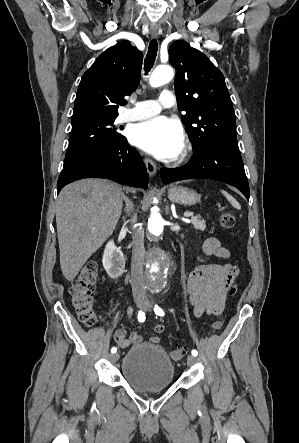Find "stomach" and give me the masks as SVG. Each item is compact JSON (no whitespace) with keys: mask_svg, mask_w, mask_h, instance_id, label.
<instances>
[{"mask_svg":"<svg viewBox=\"0 0 299 443\" xmlns=\"http://www.w3.org/2000/svg\"><path fill=\"white\" fill-rule=\"evenodd\" d=\"M168 197L172 202L184 205H194L199 199L198 194L194 190L181 186H170L168 188Z\"/></svg>","mask_w":299,"mask_h":443,"instance_id":"stomach-1","label":"stomach"}]
</instances>
